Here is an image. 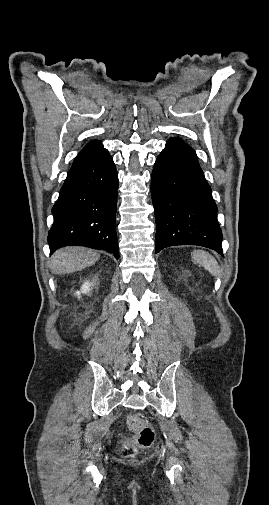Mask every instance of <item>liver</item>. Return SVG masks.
<instances>
[{
  "mask_svg": "<svg viewBox=\"0 0 269 505\" xmlns=\"http://www.w3.org/2000/svg\"><path fill=\"white\" fill-rule=\"evenodd\" d=\"M99 258V253L88 248L65 247L51 256L50 268L55 274H69L92 266Z\"/></svg>",
  "mask_w": 269,
  "mask_h": 505,
  "instance_id": "6515ba94",
  "label": "liver"
}]
</instances>
